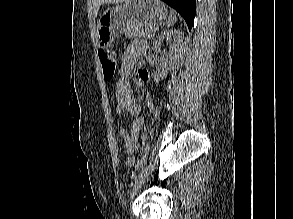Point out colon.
I'll return each instance as SVG.
<instances>
[{
  "instance_id": "colon-1",
  "label": "colon",
  "mask_w": 293,
  "mask_h": 219,
  "mask_svg": "<svg viewBox=\"0 0 293 219\" xmlns=\"http://www.w3.org/2000/svg\"><path fill=\"white\" fill-rule=\"evenodd\" d=\"M98 56L102 66L103 76L105 80H112L115 76L118 64V58L116 53L109 49H100L98 52ZM126 164L127 166H134L136 164L135 158H127Z\"/></svg>"
}]
</instances>
